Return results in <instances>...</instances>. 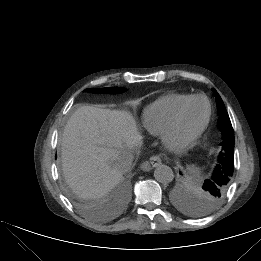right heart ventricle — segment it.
Instances as JSON below:
<instances>
[{"label": "right heart ventricle", "instance_id": "right-heart-ventricle-1", "mask_svg": "<svg viewBox=\"0 0 261 261\" xmlns=\"http://www.w3.org/2000/svg\"><path fill=\"white\" fill-rule=\"evenodd\" d=\"M190 96L192 95L168 93L146 106L142 116V123L146 132L152 136H160L172 119L176 109Z\"/></svg>", "mask_w": 261, "mask_h": 261}]
</instances>
